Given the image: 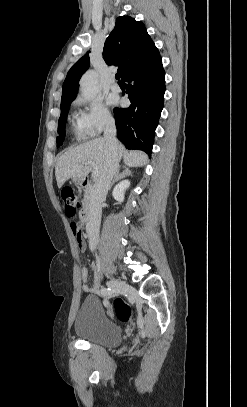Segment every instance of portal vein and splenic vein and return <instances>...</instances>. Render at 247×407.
Listing matches in <instances>:
<instances>
[{"label":"portal vein and splenic vein","mask_w":247,"mask_h":407,"mask_svg":"<svg viewBox=\"0 0 247 407\" xmlns=\"http://www.w3.org/2000/svg\"><path fill=\"white\" fill-rule=\"evenodd\" d=\"M85 164L90 165L93 168L92 177L97 178L99 176V171L97 169L96 163L94 161H88Z\"/></svg>","instance_id":"18ae733b"}]
</instances>
